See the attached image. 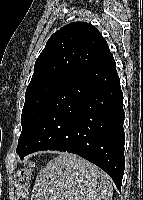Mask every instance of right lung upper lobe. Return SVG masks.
<instances>
[{
  "label": "right lung upper lobe",
  "mask_w": 143,
  "mask_h": 200,
  "mask_svg": "<svg viewBox=\"0 0 143 200\" xmlns=\"http://www.w3.org/2000/svg\"><path fill=\"white\" fill-rule=\"evenodd\" d=\"M111 54L99 31L86 22H73L56 31L34 65L32 81L53 74L71 75Z\"/></svg>",
  "instance_id": "cb5924a9"
}]
</instances>
